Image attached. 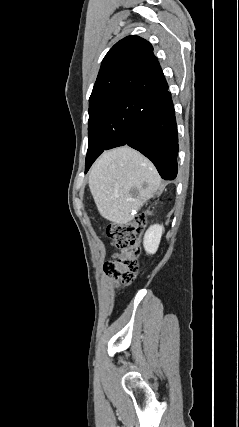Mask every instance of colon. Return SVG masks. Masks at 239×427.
Listing matches in <instances>:
<instances>
[{
  "label": "colon",
  "instance_id": "1",
  "mask_svg": "<svg viewBox=\"0 0 239 427\" xmlns=\"http://www.w3.org/2000/svg\"><path fill=\"white\" fill-rule=\"evenodd\" d=\"M146 226L145 214L137 215L127 223H112L106 228L118 253L104 264V272L119 285L127 286L135 279L140 253L139 239Z\"/></svg>",
  "mask_w": 239,
  "mask_h": 427
}]
</instances>
